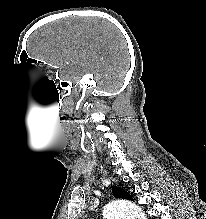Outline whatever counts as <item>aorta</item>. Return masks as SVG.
Segmentation results:
<instances>
[{"label":"aorta","mask_w":206,"mask_h":219,"mask_svg":"<svg viewBox=\"0 0 206 219\" xmlns=\"http://www.w3.org/2000/svg\"><path fill=\"white\" fill-rule=\"evenodd\" d=\"M105 219H147L136 204L127 200H114L103 209Z\"/></svg>","instance_id":"aorta-1"}]
</instances>
